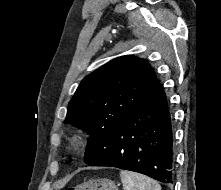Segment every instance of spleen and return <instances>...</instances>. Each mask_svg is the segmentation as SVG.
<instances>
[{
	"mask_svg": "<svg viewBox=\"0 0 221 190\" xmlns=\"http://www.w3.org/2000/svg\"><path fill=\"white\" fill-rule=\"evenodd\" d=\"M120 177L124 190H161L155 180L138 173L122 170Z\"/></svg>",
	"mask_w": 221,
	"mask_h": 190,
	"instance_id": "spleen-1",
	"label": "spleen"
}]
</instances>
